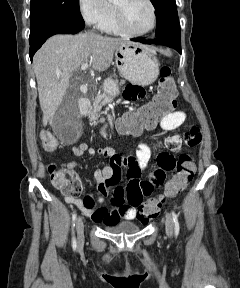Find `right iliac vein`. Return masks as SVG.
I'll return each mask as SVG.
<instances>
[{
    "label": "right iliac vein",
    "instance_id": "obj_1",
    "mask_svg": "<svg viewBox=\"0 0 240 288\" xmlns=\"http://www.w3.org/2000/svg\"><path fill=\"white\" fill-rule=\"evenodd\" d=\"M76 231H77V242L78 246H82L84 242V225L81 217H78L76 220Z\"/></svg>",
    "mask_w": 240,
    "mask_h": 288
}]
</instances>
